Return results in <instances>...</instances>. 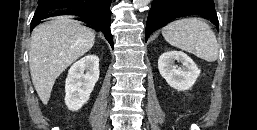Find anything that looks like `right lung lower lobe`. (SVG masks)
Listing matches in <instances>:
<instances>
[{
	"label": "right lung lower lobe",
	"mask_w": 257,
	"mask_h": 130,
	"mask_svg": "<svg viewBox=\"0 0 257 130\" xmlns=\"http://www.w3.org/2000/svg\"><path fill=\"white\" fill-rule=\"evenodd\" d=\"M112 0L90 1H57L40 0L31 29L42 23L48 17L58 15H75L77 20L87 24L88 27L101 31L113 47V38L110 31V4ZM61 9L66 11L61 12Z\"/></svg>",
	"instance_id": "1"
}]
</instances>
